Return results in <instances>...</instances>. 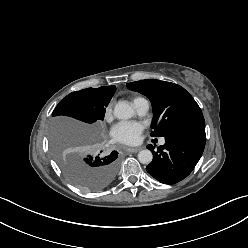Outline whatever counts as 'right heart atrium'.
Wrapping results in <instances>:
<instances>
[{
	"mask_svg": "<svg viewBox=\"0 0 248 248\" xmlns=\"http://www.w3.org/2000/svg\"><path fill=\"white\" fill-rule=\"evenodd\" d=\"M104 118L105 120H110L112 118V106L111 104L107 105L104 110Z\"/></svg>",
	"mask_w": 248,
	"mask_h": 248,
	"instance_id": "right-heart-atrium-1",
	"label": "right heart atrium"
}]
</instances>
